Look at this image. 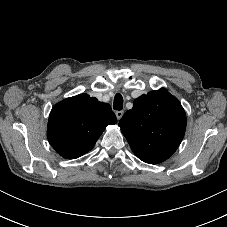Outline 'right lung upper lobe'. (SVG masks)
Wrapping results in <instances>:
<instances>
[{"instance_id": "1", "label": "right lung upper lobe", "mask_w": 227, "mask_h": 227, "mask_svg": "<svg viewBox=\"0 0 227 227\" xmlns=\"http://www.w3.org/2000/svg\"><path fill=\"white\" fill-rule=\"evenodd\" d=\"M116 122L109 104L83 93L52 108L47 137L62 157L75 159L90 151L106 126Z\"/></svg>"}]
</instances>
